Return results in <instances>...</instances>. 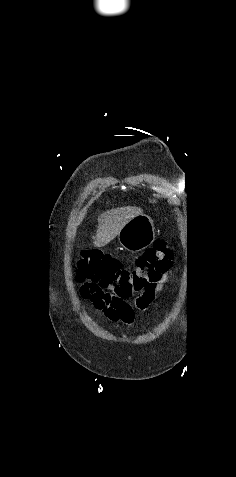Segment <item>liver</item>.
I'll list each match as a JSON object with an SVG mask.
<instances>
[{
	"instance_id": "1",
	"label": "liver",
	"mask_w": 236,
	"mask_h": 477,
	"mask_svg": "<svg viewBox=\"0 0 236 477\" xmlns=\"http://www.w3.org/2000/svg\"><path fill=\"white\" fill-rule=\"evenodd\" d=\"M141 214H143V211L135 206L121 207L102 213L98 218L94 246L103 247L107 245L119 234L130 219Z\"/></svg>"
}]
</instances>
